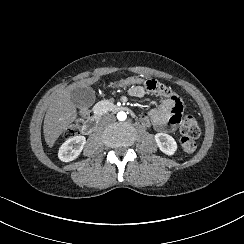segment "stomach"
<instances>
[{"instance_id":"stomach-1","label":"stomach","mask_w":244,"mask_h":244,"mask_svg":"<svg viewBox=\"0 0 244 244\" xmlns=\"http://www.w3.org/2000/svg\"><path fill=\"white\" fill-rule=\"evenodd\" d=\"M143 82L144 79L142 77L132 76L120 82L112 83L111 85H109V88L110 89L124 88L126 86L133 85V84H142Z\"/></svg>"}]
</instances>
